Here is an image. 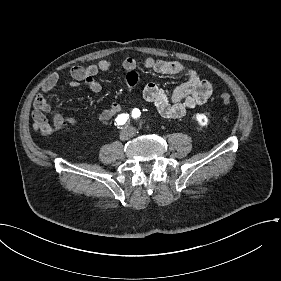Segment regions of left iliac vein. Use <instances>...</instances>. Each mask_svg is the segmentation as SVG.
Instances as JSON below:
<instances>
[{
    "label": "left iliac vein",
    "instance_id": "4c4485c4",
    "mask_svg": "<svg viewBox=\"0 0 281 281\" xmlns=\"http://www.w3.org/2000/svg\"><path fill=\"white\" fill-rule=\"evenodd\" d=\"M130 131L132 134H135V132H136L134 129H130Z\"/></svg>",
    "mask_w": 281,
    "mask_h": 281
}]
</instances>
